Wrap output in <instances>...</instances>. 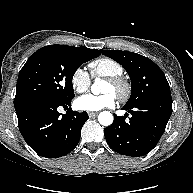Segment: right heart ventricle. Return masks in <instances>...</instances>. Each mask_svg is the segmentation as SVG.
Listing matches in <instances>:
<instances>
[{"mask_svg": "<svg viewBox=\"0 0 193 193\" xmlns=\"http://www.w3.org/2000/svg\"><path fill=\"white\" fill-rule=\"evenodd\" d=\"M89 67L93 77H110L124 73L123 65L110 57L95 59L90 62Z\"/></svg>", "mask_w": 193, "mask_h": 193, "instance_id": "obj_1", "label": "right heart ventricle"}]
</instances>
